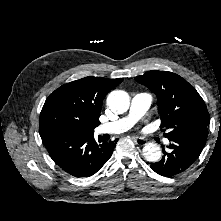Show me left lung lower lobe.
Returning a JSON list of instances; mask_svg holds the SVG:
<instances>
[{
  "instance_id": "obj_1",
  "label": "left lung lower lobe",
  "mask_w": 221,
  "mask_h": 221,
  "mask_svg": "<svg viewBox=\"0 0 221 221\" xmlns=\"http://www.w3.org/2000/svg\"><path fill=\"white\" fill-rule=\"evenodd\" d=\"M208 133L196 132L169 139L171 143L169 153H164L163 158L151 164V168L165 177H173L186 171L202 152Z\"/></svg>"
}]
</instances>
